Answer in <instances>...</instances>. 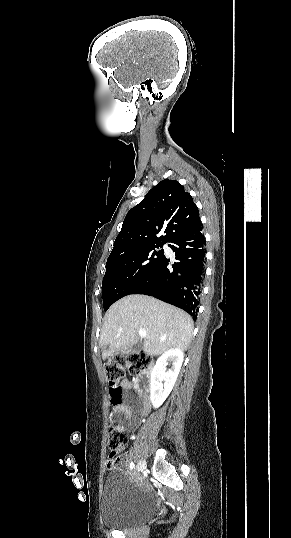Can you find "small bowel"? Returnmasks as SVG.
Listing matches in <instances>:
<instances>
[{"mask_svg": "<svg viewBox=\"0 0 291 538\" xmlns=\"http://www.w3.org/2000/svg\"><path fill=\"white\" fill-rule=\"evenodd\" d=\"M122 395L121 400L113 405L112 413L115 417H122L124 420L130 422L132 426L137 425L138 418L146 415L150 410V402L147 395L140 394L137 391L138 383L135 381H129L124 379L121 382ZM137 392V398H132L128 391ZM119 464L127 465L128 456L121 454L118 456Z\"/></svg>", "mask_w": 291, "mask_h": 538, "instance_id": "obj_1", "label": "small bowel"}]
</instances>
